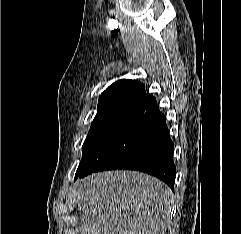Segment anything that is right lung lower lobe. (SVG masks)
Segmentation results:
<instances>
[{
  "label": "right lung lower lobe",
  "mask_w": 241,
  "mask_h": 234,
  "mask_svg": "<svg viewBox=\"0 0 241 234\" xmlns=\"http://www.w3.org/2000/svg\"><path fill=\"white\" fill-rule=\"evenodd\" d=\"M173 148L164 115L151 96L103 140L75 179L97 171L131 169L153 175L174 190Z\"/></svg>",
  "instance_id": "obj_1"
}]
</instances>
